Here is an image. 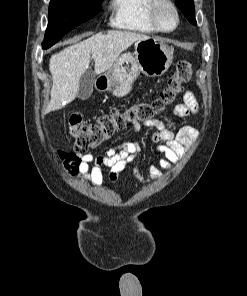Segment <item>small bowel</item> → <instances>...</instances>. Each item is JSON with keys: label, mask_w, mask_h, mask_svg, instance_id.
<instances>
[{"label": "small bowel", "mask_w": 247, "mask_h": 296, "mask_svg": "<svg viewBox=\"0 0 247 296\" xmlns=\"http://www.w3.org/2000/svg\"><path fill=\"white\" fill-rule=\"evenodd\" d=\"M183 103L177 104L172 112V118L186 119L199 111V103L195 94L187 90L183 94ZM144 125L153 128L151 141L155 145L160 155L156 163L148 166V177L145 178L141 170L134 169V177L137 181L147 183L161 177L162 169L173 168L185 154L186 148L191 145L198 137V131L191 126H183L177 130L166 125L160 120H147ZM139 122H133L134 132L141 130ZM141 152V143L125 142L116 148H110L104 153L93 156L91 154L80 155V164L77 174L79 177L87 179L94 186H101L104 182L102 168L110 169L108 178L111 182L118 180L119 173L127 165L132 163Z\"/></svg>", "instance_id": "c3829d8e"}]
</instances>
